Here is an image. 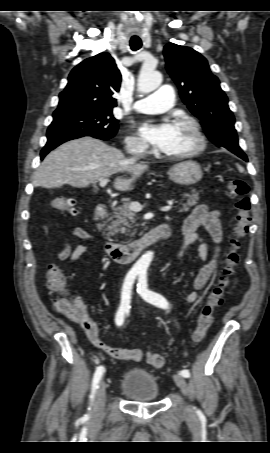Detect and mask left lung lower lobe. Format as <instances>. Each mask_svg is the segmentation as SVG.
<instances>
[{
	"label": "left lung lower lobe",
	"mask_w": 270,
	"mask_h": 453,
	"mask_svg": "<svg viewBox=\"0 0 270 453\" xmlns=\"http://www.w3.org/2000/svg\"><path fill=\"white\" fill-rule=\"evenodd\" d=\"M233 153L236 154L237 156H239L240 158H242L243 160L247 161V157H246V155L243 153L242 150H240V151H234Z\"/></svg>",
	"instance_id": "1"
}]
</instances>
